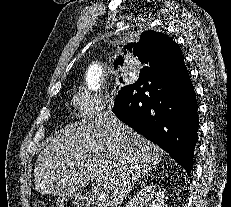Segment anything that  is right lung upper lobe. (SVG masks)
Instances as JSON below:
<instances>
[{
	"instance_id": "cb5924a9",
	"label": "right lung upper lobe",
	"mask_w": 231,
	"mask_h": 207,
	"mask_svg": "<svg viewBox=\"0 0 231 207\" xmlns=\"http://www.w3.org/2000/svg\"><path fill=\"white\" fill-rule=\"evenodd\" d=\"M122 50L125 54L133 53L147 66L158 65L164 70L185 66L179 45L167 35L156 31H148L145 35H141L139 42L128 43ZM123 60L124 58L119 56L115 62L120 64Z\"/></svg>"
}]
</instances>
